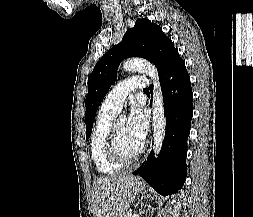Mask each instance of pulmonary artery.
<instances>
[{
  "mask_svg": "<svg viewBox=\"0 0 253 217\" xmlns=\"http://www.w3.org/2000/svg\"><path fill=\"white\" fill-rule=\"evenodd\" d=\"M148 84L149 82L144 76H133L118 83L105 97L101 109L117 114L132 91L144 89Z\"/></svg>",
  "mask_w": 253,
  "mask_h": 217,
  "instance_id": "1",
  "label": "pulmonary artery"
}]
</instances>
